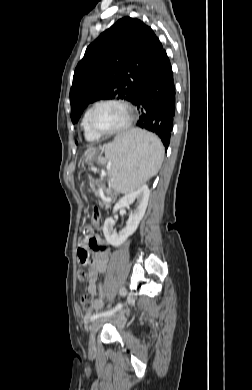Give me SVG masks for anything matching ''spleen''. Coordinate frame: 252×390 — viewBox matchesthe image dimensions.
I'll return each instance as SVG.
<instances>
[{"instance_id": "1", "label": "spleen", "mask_w": 252, "mask_h": 390, "mask_svg": "<svg viewBox=\"0 0 252 390\" xmlns=\"http://www.w3.org/2000/svg\"><path fill=\"white\" fill-rule=\"evenodd\" d=\"M164 158V148L160 139L147 131L132 129L116 136L105 150V158L98 162H108L109 185L119 193H131L156 175Z\"/></svg>"}]
</instances>
